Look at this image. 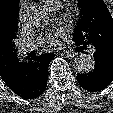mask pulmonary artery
Returning a JSON list of instances; mask_svg holds the SVG:
<instances>
[{"instance_id": "obj_1", "label": "pulmonary artery", "mask_w": 113, "mask_h": 113, "mask_svg": "<svg viewBox=\"0 0 113 113\" xmlns=\"http://www.w3.org/2000/svg\"><path fill=\"white\" fill-rule=\"evenodd\" d=\"M35 49V45L29 42H25L22 45L19 46V51L23 54L32 51Z\"/></svg>"}]
</instances>
